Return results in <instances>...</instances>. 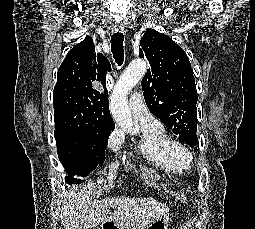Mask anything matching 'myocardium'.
<instances>
[{
  "instance_id": "obj_1",
  "label": "myocardium",
  "mask_w": 255,
  "mask_h": 229,
  "mask_svg": "<svg viewBox=\"0 0 255 229\" xmlns=\"http://www.w3.org/2000/svg\"><path fill=\"white\" fill-rule=\"evenodd\" d=\"M165 152L174 160L184 165H190L192 155L189 149L181 142L170 140V142L164 147Z\"/></svg>"
}]
</instances>
